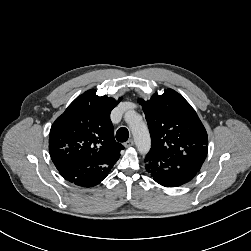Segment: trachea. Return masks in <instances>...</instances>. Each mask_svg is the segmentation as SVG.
Masks as SVG:
<instances>
[{
	"label": "trachea",
	"instance_id": "3493384b",
	"mask_svg": "<svg viewBox=\"0 0 251 251\" xmlns=\"http://www.w3.org/2000/svg\"><path fill=\"white\" fill-rule=\"evenodd\" d=\"M129 138L128 129L125 127H121L116 132V139L118 142H126Z\"/></svg>",
	"mask_w": 251,
	"mask_h": 251
}]
</instances>
